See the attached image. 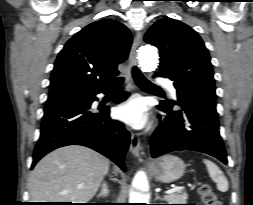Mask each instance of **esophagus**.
Instances as JSON below:
<instances>
[{
    "label": "esophagus",
    "instance_id": "esophagus-1",
    "mask_svg": "<svg viewBox=\"0 0 253 205\" xmlns=\"http://www.w3.org/2000/svg\"><path fill=\"white\" fill-rule=\"evenodd\" d=\"M141 39H142L141 33L140 32L136 33L133 40L132 47H131L130 56H129L131 66H135L137 64L136 54H137V49L139 45L141 44ZM129 150L135 157H140V155L142 154V146H141L140 138L137 134L131 135Z\"/></svg>",
    "mask_w": 253,
    "mask_h": 205
}]
</instances>
